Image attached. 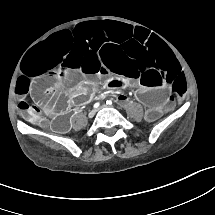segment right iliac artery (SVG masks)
I'll list each match as a JSON object with an SVG mask.
<instances>
[{"label": "right iliac artery", "mask_w": 215, "mask_h": 215, "mask_svg": "<svg viewBox=\"0 0 215 215\" xmlns=\"http://www.w3.org/2000/svg\"><path fill=\"white\" fill-rule=\"evenodd\" d=\"M99 105V103L94 104V108H97Z\"/></svg>", "instance_id": "1"}]
</instances>
